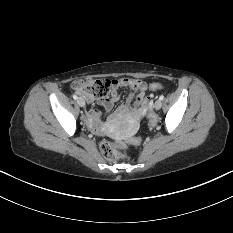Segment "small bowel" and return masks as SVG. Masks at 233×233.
Returning a JSON list of instances; mask_svg holds the SVG:
<instances>
[{"label":"small bowel","mask_w":233,"mask_h":233,"mask_svg":"<svg viewBox=\"0 0 233 233\" xmlns=\"http://www.w3.org/2000/svg\"><path fill=\"white\" fill-rule=\"evenodd\" d=\"M122 87H130L132 92L128 96L126 102L122 103L118 110V115H128L131 122H136L145 115L141 103L147 88V85L142 80L120 78L111 81V94L105 99L98 100V103L109 111L113 104L120 99L118 90ZM87 122L91 129L95 132H102L103 127L100 123V111L98 109H91L87 115Z\"/></svg>","instance_id":"1"}]
</instances>
